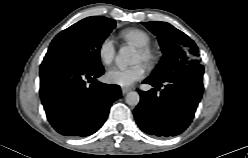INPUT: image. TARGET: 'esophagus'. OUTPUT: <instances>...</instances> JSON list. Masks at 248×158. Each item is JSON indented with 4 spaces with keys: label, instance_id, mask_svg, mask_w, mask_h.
Masks as SVG:
<instances>
[{
    "label": "esophagus",
    "instance_id": "esophagus-1",
    "mask_svg": "<svg viewBox=\"0 0 248 158\" xmlns=\"http://www.w3.org/2000/svg\"><path fill=\"white\" fill-rule=\"evenodd\" d=\"M122 94L125 95L127 94L129 91H131V88L129 87H122L121 88Z\"/></svg>",
    "mask_w": 248,
    "mask_h": 158
}]
</instances>
